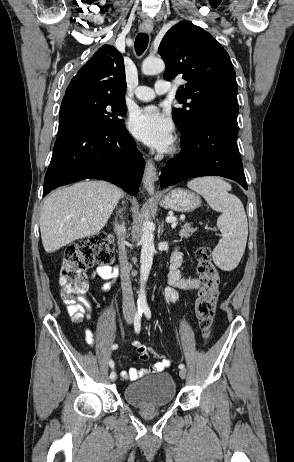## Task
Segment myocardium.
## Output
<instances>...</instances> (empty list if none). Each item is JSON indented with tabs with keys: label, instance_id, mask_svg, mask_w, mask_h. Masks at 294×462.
<instances>
[{
	"label": "myocardium",
	"instance_id": "1",
	"mask_svg": "<svg viewBox=\"0 0 294 462\" xmlns=\"http://www.w3.org/2000/svg\"><path fill=\"white\" fill-rule=\"evenodd\" d=\"M177 151V147H174L172 150H171V153H175Z\"/></svg>",
	"mask_w": 294,
	"mask_h": 462
}]
</instances>
